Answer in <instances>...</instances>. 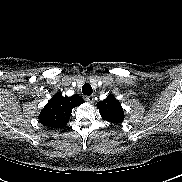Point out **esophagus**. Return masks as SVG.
Returning a JSON list of instances; mask_svg holds the SVG:
<instances>
[{
  "instance_id": "34e87169",
  "label": "esophagus",
  "mask_w": 182,
  "mask_h": 182,
  "mask_svg": "<svg viewBox=\"0 0 182 182\" xmlns=\"http://www.w3.org/2000/svg\"><path fill=\"white\" fill-rule=\"evenodd\" d=\"M85 100L88 102V103H94V96H87L86 98H85Z\"/></svg>"
}]
</instances>
